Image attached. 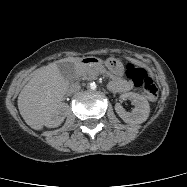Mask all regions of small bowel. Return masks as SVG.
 I'll return each instance as SVG.
<instances>
[{
    "mask_svg": "<svg viewBox=\"0 0 187 187\" xmlns=\"http://www.w3.org/2000/svg\"><path fill=\"white\" fill-rule=\"evenodd\" d=\"M132 87V82L123 79H117L110 83V88L116 92H126L131 90Z\"/></svg>",
    "mask_w": 187,
    "mask_h": 187,
    "instance_id": "obj_1",
    "label": "small bowel"
}]
</instances>
